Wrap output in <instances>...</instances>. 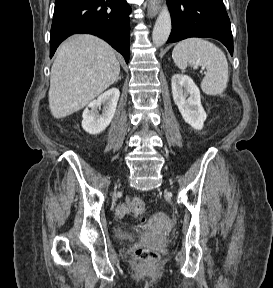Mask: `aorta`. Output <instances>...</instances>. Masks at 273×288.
<instances>
[{
	"mask_svg": "<svg viewBox=\"0 0 273 288\" xmlns=\"http://www.w3.org/2000/svg\"><path fill=\"white\" fill-rule=\"evenodd\" d=\"M171 32V17L168 7L164 4L154 25L152 40L157 46L163 45Z\"/></svg>",
	"mask_w": 273,
	"mask_h": 288,
	"instance_id": "obj_1",
	"label": "aorta"
}]
</instances>
